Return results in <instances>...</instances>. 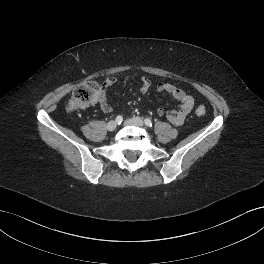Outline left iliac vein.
<instances>
[{"label":"left iliac vein","instance_id":"4c4485c4","mask_svg":"<svg viewBox=\"0 0 264 264\" xmlns=\"http://www.w3.org/2000/svg\"><path fill=\"white\" fill-rule=\"evenodd\" d=\"M126 125L143 127L144 122L140 117H134L125 121Z\"/></svg>","mask_w":264,"mask_h":264}]
</instances>
